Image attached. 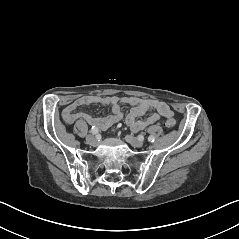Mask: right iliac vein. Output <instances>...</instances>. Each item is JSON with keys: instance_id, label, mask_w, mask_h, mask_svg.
I'll return each mask as SVG.
<instances>
[{"instance_id": "63e3f726", "label": "right iliac vein", "mask_w": 239, "mask_h": 239, "mask_svg": "<svg viewBox=\"0 0 239 239\" xmlns=\"http://www.w3.org/2000/svg\"><path fill=\"white\" fill-rule=\"evenodd\" d=\"M86 142L92 146H95L97 144L96 138L91 134L86 137Z\"/></svg>"}]
</instances>
